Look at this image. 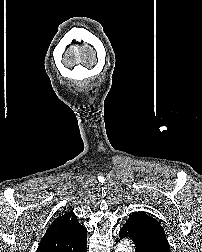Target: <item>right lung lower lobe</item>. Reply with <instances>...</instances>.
I'll return each mask as SVG.
<instances>
[{
  "label": "right lung lower lobe",
  "mask_w": 202,
  "mask_h": 252,
  "mask_svg": "<svg viewBox=\"0 0 202 252\" xmlns=\"http://www.w3.org/2000/svg\"><path fill=\"white\" fill-rule=\"evenodd\" d=\"M86 250H87V244H86L85 249L83 250V252H86Z\"/></svg>",
  "instance_id": "right-lung-lower-lobe-1"
}]
</instances>
